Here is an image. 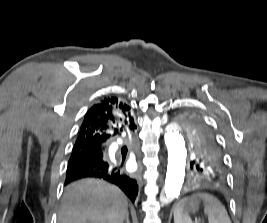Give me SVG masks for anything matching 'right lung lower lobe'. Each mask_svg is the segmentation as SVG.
Returning a JSON list of instances; mask_svg holds the SVG:
<instances>
[{"instance_id": "1", "label": "right lung lower lobe", "mask_w": 267, "mask_h": 223, "mask_svg": "<svg viewBox=\"0 0 267 223\" xmlns=\"http://www.w3.org/2000/svg\"><path fill=\"white\" fill-rule=\"evenodd\" d=\"M82 178H99L115 184L132 202L138 195L137 181L108 159L106 149L98 155L85 157L68 165L65 185Z\"/></svg>"}]
</instances>
